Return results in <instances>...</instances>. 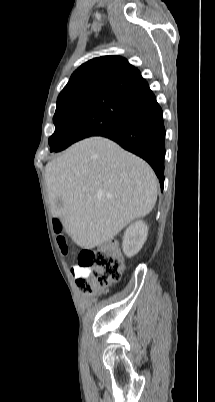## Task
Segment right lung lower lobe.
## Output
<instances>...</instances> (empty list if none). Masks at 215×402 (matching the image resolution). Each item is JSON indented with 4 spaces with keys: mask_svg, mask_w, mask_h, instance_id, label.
Returning a JSON list of instances; mask_svg holds the SVG:
<instances>
[{
    "mask_svg": "<svg viewBox=\"0 0 215 402\" xmlns=\"http://www.w3.org/2000/svg\"><path fill=\"white\" fill-rule=\"evenodd\" d=\"M147 161L164 184L165 128L162 109L156 98L140 109L118 129L101 135Z\"/></svg>",
    "mask_w": 215,
    "mask_h": 402,
    "instance_id": "obj_1",
    "label": "right lung lower lobe"
}]
</instances>
